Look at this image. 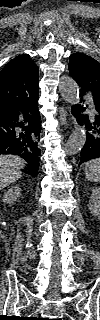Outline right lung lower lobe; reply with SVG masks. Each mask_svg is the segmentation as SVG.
I'll return each mask as SVG.
<instances>
[{
	"instance_id": "98d812e1",
	"label": "right lung lower lobe",
	"mask_w": 100,
	"mask_h": 320,
	"mask_svg": "<svg viewBox=\"0 0 100 320\" xmlns=\"http://www.w3.org/2000/svg\"><path fill=\"white\" fill-rule=\"evenodd\" d=\"M38 92L13 106L0 109V154H13L28 164L24 172L38 174L41 150Z\"/></svg>"
}]
</instances>
